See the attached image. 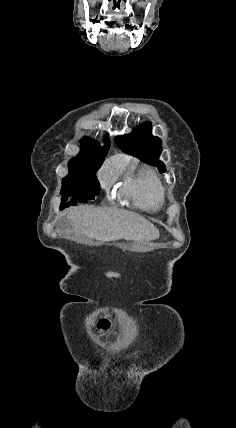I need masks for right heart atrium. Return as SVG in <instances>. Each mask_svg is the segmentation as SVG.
<instances>
[{"label":"right heart atrium","instance_id":"obj_1","mask_svg":"<svg viewBox=\"0 0 236 428\" xmlns=\"http://www.w3.org/2000/svg\"><path fill=\"white\" fill-rule=\"evenodd\" d=\"M100 180H101V186H102V188L104 190L108 191L111 188V186L113 184V181L109 177V175L106 173V171H103L101 173Z\"/></svg>","mask_w":236,"mask_h":428}]
</instances>
